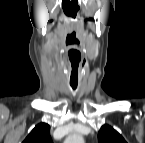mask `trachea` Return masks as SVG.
<instances>
[{"mask_svg":"<svg viewBox=\"0 0 145 143\" xmlns=\"http://www.w3.org/2000/svg\"><path fill=\"white\" fill-rule=\"evenodd\" d=\"M70 85L75 90L77 88L78 83L77 82H70Z\"/></svg>","mask_w":145,"mask_h":143,"instance_id":"3493384b","label":"trachea"}]
</instances>
